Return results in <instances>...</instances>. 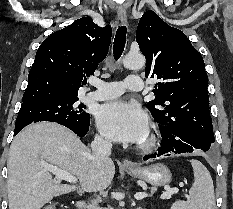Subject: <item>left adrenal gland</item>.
Segmentation results:
<instances>
[{
  "mask_svg": "<svg viewBox=\"0 0 233 209\" xmlns=\"http://www.w3.org/2000/svg\"><path fill=\"white\" fill-rule=\"evenodd\" d=\"M137 209H142L141 207H138Z\"/></svg>",
  "mask_w": 233,
  "mask_h": 209,
  "instance_id": "1",
  "label": "left adrenal gland"
}]
</instances>
